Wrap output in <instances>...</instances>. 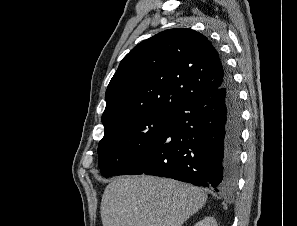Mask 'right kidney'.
<instances>
[{
  "mask_svg": "<svg viewBox=\"0 0 297 226\" xmlns=\"http://www.w3.org/2000/svg\"><path fill=\"white\" fill-rule=\"evenodd\" d=\"M194 226H217V222L213 217H206L197 222Z\"/></svg>",
  "mask_w": 297,
  "mask_h": 226,
  "instance_id": "right-kidney-1",
  "label": "right kidney"
}]
</instances>
